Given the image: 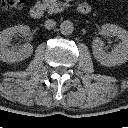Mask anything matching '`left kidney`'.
Listing matches in <instances>:
<instances>
[{
	"instance_id": "1",
	"label": "left kidney",
	"mask_w": 128,
	"mask_h": 128,
	"mask_svg": "<svg viewBox=\"0 0 128 128\" xmlns=\"http://www.w3.org/2000/svg\"><path fill=\"white\" fill-rule=\"evenodd\" d=\"M101 28L105 34L118 37L122 42L107 53L103 49L102 40L96 37L92 42L94 58L108 67L126 62L128 60V32L114 24H104Z\"/></svg>"
}]
</instances>
